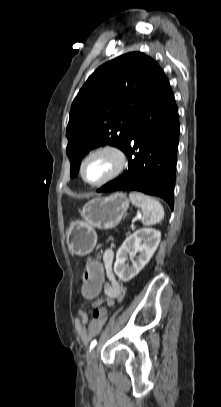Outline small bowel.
Returning a JSON list of instances; mask_svg holds the SVG:
<instances>
[{
  "label": "small bowel",
  "instance_id": "c3829d8e",
  "mask_svg": "<svg viewBox=\"0 0 221 407\" xmlns=\"http://www.w3.org/2000/svg\"><path fill=\"white\" fill-rule=\"evenodd\" d=\"M115 254L112 249H107L103 253L102 263L103 271L105 273V281L103 292H97L98 295L103 293L105 296V302L108 306H112L115 301H121L124 297V290L120 281L116 278L113 272V262ZM104 278V279H105ZM82 291V288H81ZM104 300L102 297H95L91 302V309L94 310L96 305H103ZM105 318H96L94 317L89 321L88 314L85 310H78V318L76 319V328L80 340L83 343L89 342L101 329L103 326Z\"/></svg>",
  "mask_w": 221,
  "mask_h": 407
}]
</instances>
